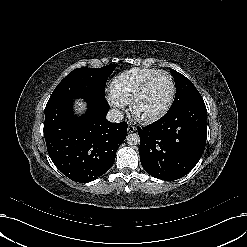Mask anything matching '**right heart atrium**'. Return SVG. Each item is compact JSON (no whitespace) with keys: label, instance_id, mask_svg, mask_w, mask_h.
I'll return each mask as SVG.
<instances>
[{"label":"right heart atrium","instance_id":"1","mask_svg":"<svg viewBox=\"0 0 247 247\" xmlns=\"http://www.w3.org/2000/svg\"><path fill=\"white\" fill-rule=\"evenodd\" d=\"M110 105L117 111H121L125 104H123L119 99L115 98L114 96L110 95L108 98Z\"/></svg>","mask_w":247,"mask_h":247}]
</instances>
